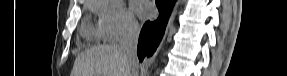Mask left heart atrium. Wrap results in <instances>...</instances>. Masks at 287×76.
Instances as JSON below:
<instances>
[{
  "mask_svg": "<svg viewBox=\"0 0 287 76\" xmlns=\"http://www.w3.org/2000/svg\"><path fill=\"white\" fill-rule=\"evenodd\" d=\"M134 11L139 17L146 19L154 14V6L148 0H135L132 3Z\"/></svg>",
  "mask_w": 287,
  "mask_h": 76,
  "instance_id": "1",
  "label": "left heart atrium"
}]
</instances>
